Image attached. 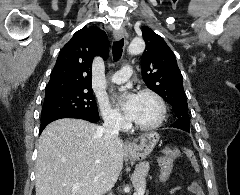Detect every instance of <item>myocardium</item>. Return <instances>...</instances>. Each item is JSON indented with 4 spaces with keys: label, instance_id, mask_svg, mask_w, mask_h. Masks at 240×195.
I'll return each mask as SVG.
<instances>
[{
    "label": "myocardium",
    "instance_id": "myocardium-1",
    "mask_svg": "<svg viewBox=\"0 0 240 195\" xmlns=\"http://www.w3.org/2000/svg\"><path fill=\"white\" fill-rule=\"evenodd\" d=\"M144 95H148L152 97L157 102L158 115L156 119L153 122L146 125H140V124L134 123L131 120H127L126 125L136 131L149 132V131L155 130L163 123L166 117V105L163 98L157 92L151 89H142L141 91H139L138 96H144Z\"/></svg>",
    "mask_w": 240,
    "mask_h": 195
}]
</instances>
